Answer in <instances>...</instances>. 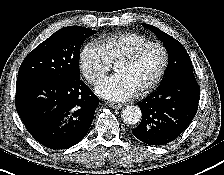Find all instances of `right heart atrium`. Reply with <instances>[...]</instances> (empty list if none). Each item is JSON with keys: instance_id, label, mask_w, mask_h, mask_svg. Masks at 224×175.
<instances>
[{"instance_id": "obj_1", "label": "right heart atrium", "mask_w": 224, "mask_h": 175, "mask_svg": "<svg viewBox=\"0 0 224 175\" xmlns=\"http://www.w3.org/2000/svg\"><path fill=\"white\" fill-rule=\"evenodd\" d=\"M80 68L87 79L93 85L99 83L111 68L104 51L95 44H86L79 56Z\"/></svg>"}]
</instances>
